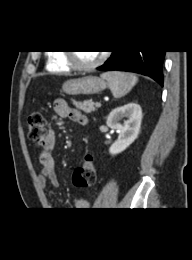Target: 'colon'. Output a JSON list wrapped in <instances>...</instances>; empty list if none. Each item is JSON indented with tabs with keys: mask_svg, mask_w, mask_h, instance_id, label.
I'll list each match as a JSON object with an SVG mask.
<instances>
[{
	"mask_svg": "<svg viewBox=\"0 0 192 260\" xmlns=\"http://www.w3.org/2000/svg\"><path fill=\"white\" fill-rule=\"evenodd\" d=\"M28 137L36 148H43L46 143L47 131L42 113L33 112L28 117ZM96 181V167L91 156H87L83 163L73 173V183L76 187L87 188Z\"/></svg>",
	"mask_w": 192,
	"mask_h": 260,
	"instance_id": "1",
	"label": "colon"
}]
</instances>
